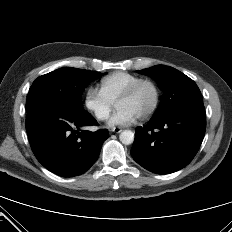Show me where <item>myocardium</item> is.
I'll return each mask as SVG.
<instances>
[{"label":"myocardium","instance_id":"1","mask_svg":"<svg viewBox=\"0 0 232 232\" xmlns=\"http://www.w3.org/2000/svg\"><path fill=\"white\" fill-rule=\"evenodd\" d=\"M144 84H149L153 88L154 101L151 107L143 115L139 117V119H142V120H145L149 118L150 116H152L157 110L159 103H160V98H161L160 88L154 80L150 78H141L137 80L121 96H119V98L115 102L117 106V104H119L120 102H123V101H126L132 98L135 95V93L138 91V89Z\"/></svg>","mask_w":232,"mask_h":232}]
</instances>
